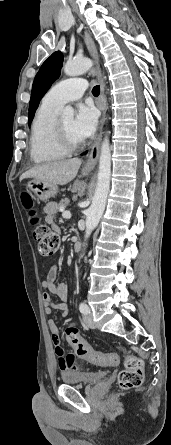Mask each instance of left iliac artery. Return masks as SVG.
Listing matches in <instances>:
<instances>
[{
  "instance_id": "1",
  "label": "left iliac artery",
  "mask_w": 171,
  "mask_h": 445,
  "mask_svg": "<svg viewBox=\"0 0 171 445\" xmlns=\"http://www.w3.org/2000/svg\"><path fill=\"white\" fill-rule=\"evenodd\" d=\"M79 310H80V312H81L82 314H88V312H89V307L87 306L86 303L81 302L80 305H79Z\"/></svg>"
}]
</instances>
